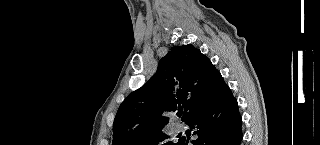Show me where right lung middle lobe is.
Here are the masks:
<instances>
[{
    "label": "right lung middle lobe",
    "instance_id": "dd1d6c3e",
    "mask_svg": "<svg viewBox=\"0 0 320 145\" xmlns=\"http://www.w3.org/2000/svg\"><path fill=\"white\" fill-rule=\"evenodd\" d=\"M169 136L162 132V130L149 133L139 140L135 141L132 145H177L172 141H168Z\"/></svg>",
    "mask_w": 320,
    "mask_h": 145
}]
</instances>
